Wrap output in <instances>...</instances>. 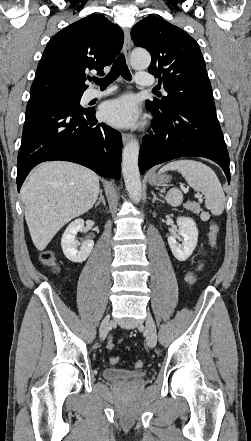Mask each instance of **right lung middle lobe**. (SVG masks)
<instances>
[{
    "label": "right lung middle lobe",
    "instance_id": "obj_1",
    "mask_svg": "<svg viewBox=\"0 0 251 441\" xmlns=\"http://www.w3.org/2000/svg\"><path fill=\"white\" fill-rule=\"evenodd\" d=\"M82 94L80 95H68L59 94L46 98L45 100L62 105L72 106L76 110L84 111L85 109L79 105Z\"/></svg>",
    "mask_w": 251,
    "mask_h": 441
}]
</instances>
